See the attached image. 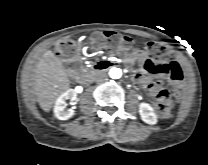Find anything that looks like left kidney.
I'll use <instances>...</instances> for the list:
<instances>
[{
  "mask_svg": "<svg viewBox=\"0 0 208 165\" xmlns=\"http://www.w3.org/2000/svg\"><path fill=\"white\" fill-rule=\"evenodd\" d=\"M139 114L141 119L150 125H154L157 123V116L154 113L153 108L148 103H140L139 105Z\"/></svg>",
  "mask_w": 208,
  "mask_h": 165,
  "instance_id": "1",
  "label": "left kidney"
}]
</instances>
